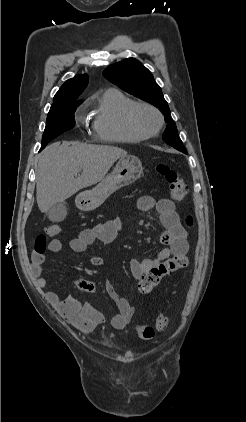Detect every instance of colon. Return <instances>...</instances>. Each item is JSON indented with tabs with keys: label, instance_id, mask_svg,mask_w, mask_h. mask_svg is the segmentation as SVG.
Instances as JSON below:
<instances>
[{
	"label": "colon",
	"instance_id": "5ec220e1",
	"mask_svg": "<svg viewBox=\"0 0 246 422\" xmlns=\"http://www.w3.org/2000/svg\"><path fill=\"white\" fill-rule=\"evenodd\" d=\"M157 172L163 176L169 184L170 196L174 200H181L187 193V184L179 176V174L165 164H159L156 167ZM188 226L193 225V218L188 216L186 218ZM61 232V227L58 224H49L44 230V234L37 236L35 240V251L43 254L46 248V236H57ZM188 265V257L181 255L172 257L157 266L151 268L139 279L138 290L141 295L150 293L160 281L167 275L180 270ZM169 319L159 314L155 319L156 330L162 332L168 327ZM137 334L142 339H150L154 336V329L151 326L139 325L136 327Z\"/></svg>",
	"mask_w": 246,
	"mask_h": 422
}]
</instances>
